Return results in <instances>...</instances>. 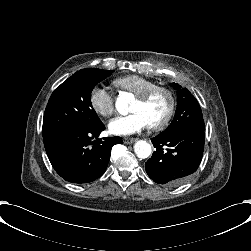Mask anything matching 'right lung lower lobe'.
I'll use <instances>...</instances> for the list:
<instances>
[{
    "mask_svg": "<svg viewBox=\"0 0 251 251\" xmlns=\"http://www.w3.org/2000/svg\"><path fill=\"white\" fill-rule=\"evenodd\" d=\"M104 129L103 124L92 129L69 127L43 137L47 156L59 176L71 183L86 184L103 175L111 148L122 144L120 137L97 138Z\"/></svg>",
    "mask_w": 251,
    "mask_h": 251,
    "instance_id": "1",
    "label": "right lung lower lobe"
}]
</instances>
